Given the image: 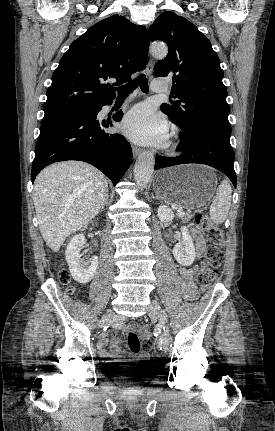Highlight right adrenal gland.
<instances>
[{
    "label": "right adrenal gland",
    "mask_w": 275,
    "mask_h": 431,
    "mask_svg": "<svg viewBox=\"0 0 275 431\" xmlns=\"http://www.w3.org/2000/svg\"><path fill=\"white\" fill-rule=\"evenodd\" d=\"M108 198H109V197L107 196V197H106V199H105V202H104V204H103V206H102V209H103V207H104V206H107V204H108Z\"/></svg>",
    "instance_id": "obj_1"
}]
</instances>
